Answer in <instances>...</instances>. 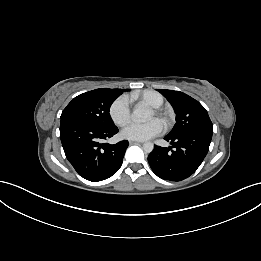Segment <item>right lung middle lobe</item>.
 Segmentation results:
<instances>
[{
    "label": "right lung middle lobe",
    "instance_id": "dd1d6c3e",
    "mask_svg": "<svg viewBox=\"0 0 261 261\" xmlns=\"http://www.w3.org/2000/svg\"><path fill=\"white\" fill-rule=\"evenodd\" d=\"M126 89L101 88L75 97L63 110L61 120H70L99 128L114 127L109 109Z\"/></svg>",
    "mask_w": 261,
    "mask_h": 261
}]
</instances>
